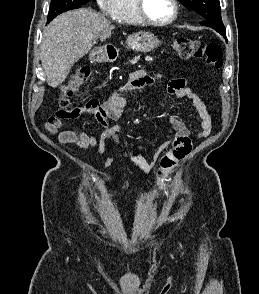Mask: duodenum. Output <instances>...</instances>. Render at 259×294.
I'll return each instance as SVG.
<instances>
[{"label": "duodenum", "mask_w": 259, "mask_h": 294, "mask_svg": "<svg viewBox=\"0 0 259 294\" xmlns=\"http://www.w3.org/2000/svg\"><path fill=\"white\" fill-rule=\"evenodd\" d=\"M106 57L110 60L114 59V55L110 54L109 52H106Z\"/></svg>", "instance_id": "duodenum-1"}]
</instances>
